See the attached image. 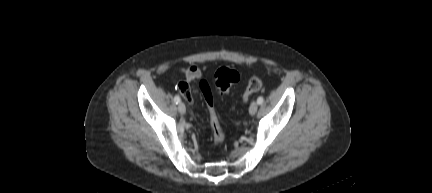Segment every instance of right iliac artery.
Listing matches in <instances>:
<instances>
[{
	"label": "right iliac artery",
	"instance_id": "1",
	"mask_svg": "<svg viewBox=\"0 0 432 193\" xmlns=\"http://www.w3.org/2000/svg\"><path fill=\"white\" fill-rule=\"evenodd\" d=\"M174 101H175L176 104H178V103H180L181 99H180L179 96L176 95V96L174 97Z\"/></svg>",
	"mask_w": 432,
	"mask_h": 193
}]
</instances>
